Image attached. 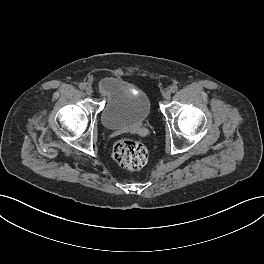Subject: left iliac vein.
<instances>
[{"label":"left iliac vein","mask_w":264,"mask_h":264,"mask_svg":"<svg viewBox=\"0 0 264 264\" xmlns=\"http://www.w3.org/2000/svg\"><path fill=\"white\" fill-rule=\"evenodd\" d=\"M165 100H169L171 98V92L170 91H166L163 95Z\"/></svg>","instance_id":"1"}]
</instances>
